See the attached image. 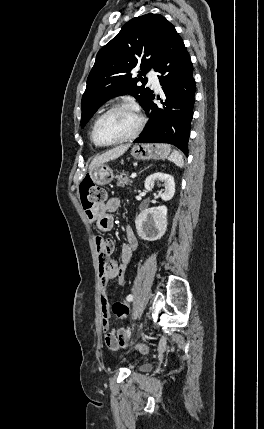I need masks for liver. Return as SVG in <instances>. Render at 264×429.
I'll return each instance as SVG.
<instances>
[{"instance_id": "1", "label": "liver", "mask_w": 264, "mask_h": 429, "mask_svg": "<svg viewBox=\"0 0 264 429\" xmlns=\"http://www.w3.org/2000/svg\"><path fill=\"white\" fill-rule=\"evenodd\" d=\"M129 147H130L129 144L120 145V146H117L113 149L106 151L105 153H103L99 156H96L92 160V162L90 163L89 169L93 168L96 165H99V164H102V163H105V162H108L110 160H114V159L120 157L121 155H123L128 150Z\"/></svg>"}]
</instances>
